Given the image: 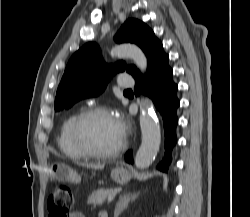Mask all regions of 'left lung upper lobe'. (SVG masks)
Wrapping results in <instances>:
<instances>
[{
    "label": "left lung upper lobe",
    "mask_w": 250,
    "mask_h": 217,
    "mask_svg": "<svg viewBox=\"0 0 250 217\" xmlns=\"http://www.w3.org/2000/svg\"><path fill=\"white\" fill-rule=\"evenodd\" d=\"M117 43L137 44L146 54L148 63L160 41L153 31L137 19H128L114 37ZM126 70L133 77L139 73L133 65L119 61L107 65L102 59L96 43H87L70 58L58 86L55 98V111L70 108L81 99L101 94L111 77Z\"/></svg>",
    "instance_id": "1"
}]
</instances>
